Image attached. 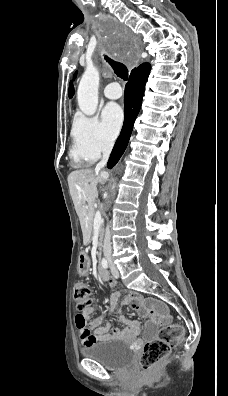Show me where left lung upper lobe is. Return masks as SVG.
Returning <instances> with one entry per match:
<instances>
[{"label":"left lung upper lobe","mask_w":228,"mask_h":396,"mask_svg":"<svg viewBox=\"0 0 228 396\" xmlns=\"http://www.w3.org/2000/svg\"><path fill=\"white\" fill-rule=\"evenodd\" d=\"M76 77V73L74 74V78Z\"/></svg>","instance_id":"obj_1"}]
</instances>
